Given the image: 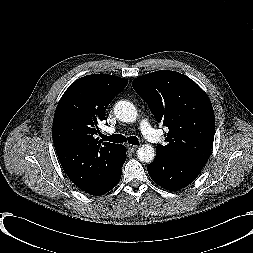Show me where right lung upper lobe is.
Here are the masks:
<instances>
[{"instance_id":"obj_1","label":"right lung upper lobe","mask_w":253,"mask_h":253,"mask_svg":"<svg viewBox=\"0 0 253 253\" xmlns=\"http://www.w3.org/2000/svg\"><path fill=\"white\" fill-rule=\"evenodd\" d=\"M128 81L114 75H87L61 97L53 120V142L67 176L81 190L99 186L118 166L121 144L98 141V123Z\"/></svg>"}]
</instances>
